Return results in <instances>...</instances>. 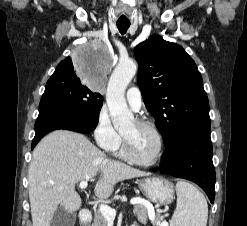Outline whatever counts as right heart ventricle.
I'll list each match as a JSON object with an SVG mask.
<instances>
[{
  "mask_svg": "<svg viewBox=\"0 0 247 226\" xmlns=\"http://www.w3.org/2000/svg\"><path fill=\"white\" fill-rule=\"evenodd\" d=\"M111 151H112L116 156H118V157L126 158L125 155H124L123 149H122L121 140H120V142L118 143V145H117L113 150H111Z\"/></svg>",
  "mask_w": 247,
  "mask_h": 226,
  "instance_id": "right-heart-ventricle-1",
  "label": "right heart ventricle"
}]
</instances>
